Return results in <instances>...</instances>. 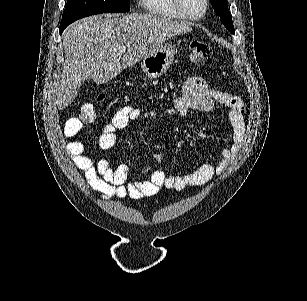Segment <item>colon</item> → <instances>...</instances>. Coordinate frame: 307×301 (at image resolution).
Listing matches in <instances>:
<instances>
[{"mask_svg": "<svg viewBox=\"0 0 307 301\" xmlns=\"http://www.w3.org/2000/svg\"><path fill=\"white\" fill-rule=\"evenodd\" d=\"M212 55V48L202 41H192L188 45V56L192 62L201 63L208 60ZM103 96L100 97V100ZM81 122L83 124H90L95 119V110L92 105L83 107L81 115Z\"/></svg>", "mask_w": 307, "mask_h": 301, "instance_id": "colon-1", "label": "colon"}]
</instances>
